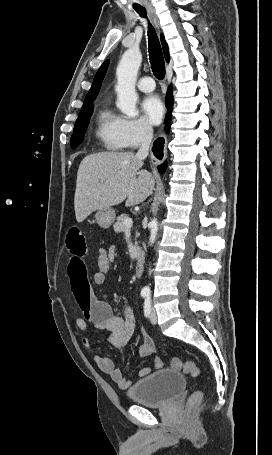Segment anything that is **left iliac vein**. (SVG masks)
I'll list each match as a JSON object with an SVG mask.
<instances>
[{"label": "left iliac vein", "mask_w": 272, "mask_h": 455, "mask_svg": "<svg viewBox=\"0 0 272 455\" xmlns=\"http://www.w3.org/2000/svg\"><path fill=\"white\" fill-rule=\"evenodd\" d=\"M150 320L153 324L157 323V314L154 307L150 308Z\"/></svg>", "instance_id": "obj_1"}]
</instances>
